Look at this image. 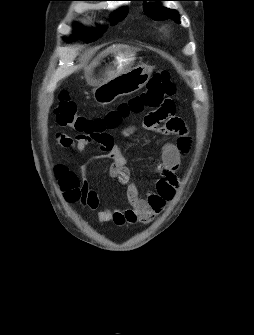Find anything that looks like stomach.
<instances>
[{
	"instance_id": "stomach-1",
	"label": "stomach",
	"mask_w": 254,
	"mask_h": 335,
	"mask_svg": "<svg viewBox=\"0 0 254 335\" xmlns=\"http://www.w3.org/2000/svg\"><path fill=\"white\" fill-rule=\"evenodd\" d=\"M136 49L122 47L111 58L102 57L89 68L88 81L95 86L94 100L107 105L117 97L141 89L149 81L153 68L133 66Z\"/></svg>"
}]
</instances>
